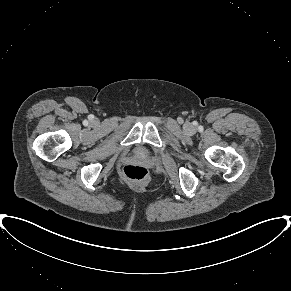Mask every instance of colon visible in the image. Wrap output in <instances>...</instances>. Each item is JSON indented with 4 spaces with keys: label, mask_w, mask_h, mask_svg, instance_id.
I'll use <instances>...</instances> for the list:
<instances>
[{
    "label": "colon",
    "mask_w": 291,
    "mask_h": 291,
    "mask_svg": "<svg viewBox=\"0 0 291 291\" xmlns=\"http://www.w3.org/2000/svg\"><path fill=\"white\" fill-rule=\"evenodd\" d=\"M123 174L132 183H144L149 177L148 170L144 166L134 164L126 165Z\"/></svg>",
    "instance_id": "colon-1"
}]
</instances>
